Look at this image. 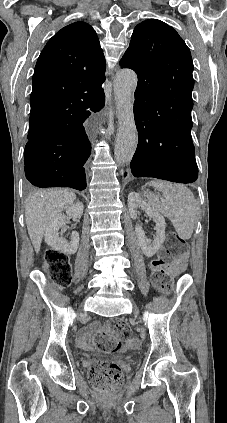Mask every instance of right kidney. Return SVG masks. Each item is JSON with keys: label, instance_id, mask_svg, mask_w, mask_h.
Returning <instances> with one entry per match:
<instances>
[{"label": "right kidney", "instance_id": "right-kidney-1", "mask_svg": "<svg viewBox=\"0 0 227 423\" xmlns=\"http://www.w3.org/2000/svg\"><path fill=\"white\" fill-rule=\"evenodd\" d=\"M66 213L70 215V217H78V219H80L81 215H83V204H81V202H76L71 208H67ZM67 215H65V213H58L56 217H53V219L49 221L45 229V241L48 245H51L52 249L61 251V253H66V255H71V253H76L78 249V231H72L70 241H66L64 237H61L58 231L60 227L66 225Z\"/></svg>", "mask_w": 227, "mask_h": 423}]
</instances>
